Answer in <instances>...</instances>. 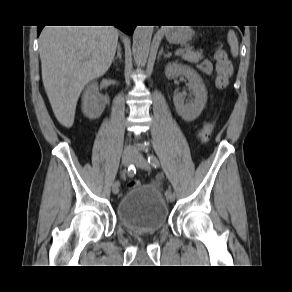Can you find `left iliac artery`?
I'll use <instances>...</instances> for the list:
<instances>
[{"label":"left iliac artery","mask_w":292,"mask_h":292,"mask_svg":"<svg viewBox=\"0 0 292 292\" xmlns=\"http://www.w3.org/2000/svg\"><path fill=\"white\" fill-rule=\"evenodd\" d=\"M148 162L154 167V168H158L160 166L159 164V160L157 159L156 156H154L153 154H149L148 157ZM171 192V189L166 190L165 195H168Z\"/></svg>","instance_id":"obj_1"}]
</instances>
